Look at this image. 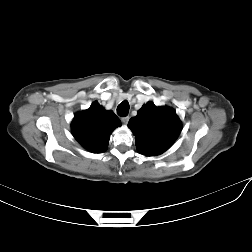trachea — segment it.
I'll list each match as a JSON object with an SVG mask.
<instances>
[{
	"mask_svg": "<svg viewBox=\"0 0 252 252\" xmlns=\"http://www.w3.org/2000/svg\"><path fill=\"white\" fill-rule=\"evenodd\" d=\"M117 113L122 117H125V116L128 115V113H129V103H128V101L124 100L118 105Z\"/></svg>",
	"mask_w": 252,
	"mask_h": 252,
	"instance_id": "1",
	"label": "trachea"
}]
</instances>
